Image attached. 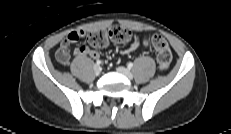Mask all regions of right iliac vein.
Returning a JSON list of instances; mask_svg holds the SVG:
<instances>
[{
	"mask_svg": "<svg viewBox=\"0 0 231 134\" xmlns=\"http://www.w3.org/2000/svg\"><path fill=\"white\" fill-rule=\"evenodd\" d=\"M100 72H101V67H100L99 65H95V66H94V73H95L96 75H99Z\"/></svg>",
	"mask_w": 231,
	"mask_h": 134,
	"instance_id": "right-iliac-vein-1",
	"label": "right iliac vein"
}]
</instances>
